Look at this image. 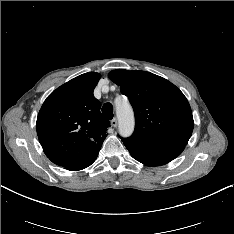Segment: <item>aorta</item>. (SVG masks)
<instances>
[{
    "label": "aorta",
    "instance_id": "aorta-1",
    "mask_svg": "<svg viewBox=\"0 0 234 234\" xmlns=\"http://www.w3.org/2000/svg\"><path fill=\"white\" fill-rule=\"evenodd\" d=\"M116 112L119 121V134L123 137H129L133 133L135 126L132 107L128 102H124L117 105Z\"/></svg>",
    "mask_w": 234,
    "mask_h": 234
}]
</instances>
